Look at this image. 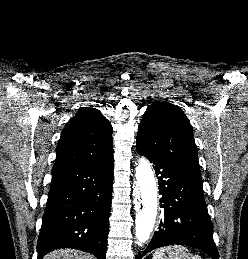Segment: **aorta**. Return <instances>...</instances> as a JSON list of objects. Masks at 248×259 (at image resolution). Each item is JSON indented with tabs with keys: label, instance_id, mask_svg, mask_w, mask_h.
Returning a JSON list of instances; mask_svg holds the SVG:
<instances>
[{
	"label": "aorta",
	"instance_id": "762f6f07",
	"mask_svg": "<svg viewBox=\"0 0 248 259\" xmlns=\"http://www.w3.org/2000/svg\"><path fill=\"white\" fill-rule=\"evenodd\" d=\"M133 203L136 211L135 236L137 244L142 246L153 231L158 212V188L154 172L148 160L143 157L139 159L136 169Z\"/></svg>",
	"mask_w": 248,
	"mask_h": 259
}]
</instances>
